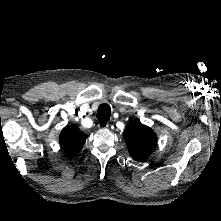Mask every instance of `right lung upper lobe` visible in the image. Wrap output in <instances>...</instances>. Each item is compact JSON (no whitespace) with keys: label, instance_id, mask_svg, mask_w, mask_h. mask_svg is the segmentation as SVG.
<instances>
[{"label":"right lung upper lobe","instance_id":"right-lung-upper-lobe-1","mask_svg":"<svg viewBox=\"0 0 221 221\" xmlns=\"http://www.w3.org/2000/svg\"><path fill=\"white\" fill-rule=\"evenodd\" d=\"M87 135L82 133L76 125L65 127L59 137L61 147L69 156H75L83 147Z\"/></svg>","mask_w":221,"mask_h":221}]
</instances>
